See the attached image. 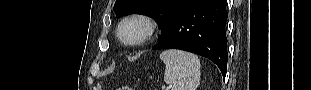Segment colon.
I'll return each instance as SVG.
<instances>
[{"label": "colon", "mask_w": 311, "mask_h": 90, "mask_svg": "<svg viewBox=\"0 0 311 90\" xmlns=\"http://www.w3.org/2000/svg\"><path fill=\"white\" fill-rule=\"evenodd\" d=\"M118 90H132V88L123 86V87H120Z\"/></svg>", "instance_id": "5ec220e1"}]
</instances>
